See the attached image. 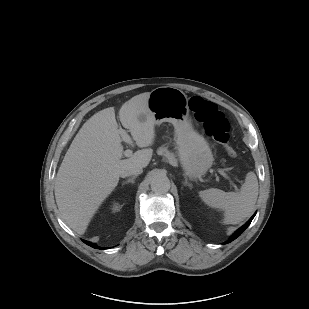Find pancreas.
I'll return each mask as SVG.
<instances>
[{"mask_svg": "<svg viewBox=\"0 0 309 309\" xmlns=\"http://www.w3.org/2000/svg\"><path fill=\"white\" fill-rule=\"evenodd\" d=\"M159 155L164 156L170 164L175 165L177 160L173 153L169 152L166 147H160L157 151Z\"/></svg>", "mask_w": 309, "mask_h": 309, "instance_id": "obj_1", "label": "pancreas"}]
</instances>
